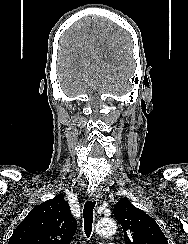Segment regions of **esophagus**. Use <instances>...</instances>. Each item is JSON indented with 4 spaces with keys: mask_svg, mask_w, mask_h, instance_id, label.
<instances>
[{
    "mask_svg": "<svg viewBox=\"0 0 188 244\" xmlns=\"http://www.w3.org/2000/svg\"><path fill=\"white\" fill-rule=\"evenodd\" d=\"M99 198H100V192H98V191H92V192L89 193V199L91 201H96Z\"/></svg>",
    "mask_w": 188,
    "mask_h": 244,
    "instance_id": "1",
    "label": "esophagus"
}]
</instances>
